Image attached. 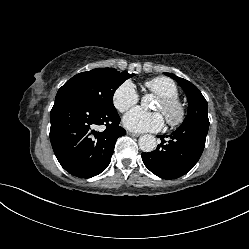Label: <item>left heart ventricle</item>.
Wrapping results in <instances>:
<instances>
[{"label":"left heart ventricle","instance_id":"b2bd125f","mask_svg":"<svg viewBox=\"0 0 249 249\" xmlns=\"http://www.w3.org/2000/svg\"><path fill=\"white\" fill-rule=\"evenodd\" d=\"M155 110H158V111H161L162 110V105H161V102L158 101L157 104L155 105Z\"/></svg>","mask_w":249,"mask_h":249}]
</instances>
